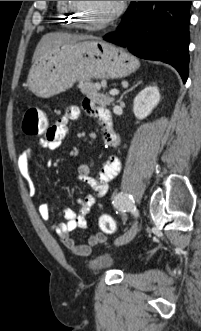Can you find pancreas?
<instances>
[{
    "mask_svg": "<svg viewBox=\"0 0 201 331\" xmlns=\"http://www.w3.org/2000/svg\"><path fill=\"white\" fill-rule=\"evenodd\" d=\"M77 87L83 94L87 95L101 106H108L114 101L113 97L100 93L96 84L90 80L80 81Z\"/></svg>",
    "mask_w": 201,
    "mask_h": 331,
    "instance_id": "obj_1",
    "label": "pancreas"
}]
</instances>
